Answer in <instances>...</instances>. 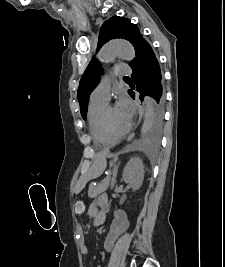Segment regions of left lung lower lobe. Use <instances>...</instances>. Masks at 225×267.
Masks as SVG:
<instances>
[{
    "label": "left lung lower lobe",
    "instance_id": "left-lung-lower-lobe-1",
    "mask_svg": "<svg viewBox=\"0 0 225 267\" xmlns=\"http://www.w3.org/2000/svg\"><path fill=\"white\" fill-rule=\"evenodd\" d=\"M130 67L135 86L128 91L129 95L134 99L135 91H138L141 101L145 95H148L152 98L153 105L163 109L165 96L162 73L154 51L144 38L139 43L136 57Z\"/></svg>",
    "mask_w": 225,
    "mask_h": 267
}]
</instances>
